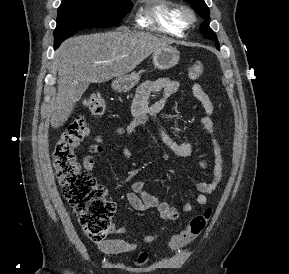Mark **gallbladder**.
<instances>
[{
  "label": "gallbladder",
  "mask_w": 289,
  "mask_h": 274,
  "mask_svg": "<svg viewBox=\"0 0 289 274\" xmlns=\"http://www.w3.org/2000/svg\"><path fill=\"white\" fill-rule=\"evenodd\" d=\"M87 83H80L77 85L76 89H75V94H74V98L75 99H80L82 93L88 88Z\"/></svg>",
  "instance_id": "bac80fb5"
}]
</instances>
